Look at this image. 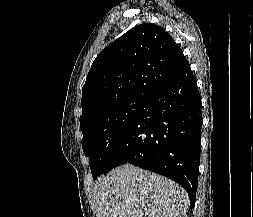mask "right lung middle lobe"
Segmentation results:
<instances>
[{
	"label": "right lung middle lobe",
	"mask_w": 253,
	"mask_h": 217,
	"mask_svg": "<svg viewBox=\"0 0 253 217\" xmlns=\"http://www.w3.org/2000/svg\"><path fill=\"white\" fill-rule=\"evenodd\" d=\"M146 101V97L119 101L95 113L80 125L82 148L90 159L93 179L106 171L114 149L141 113Z\"/></svg>",
	"instance_id": "obj_1"
}]
</instances>
